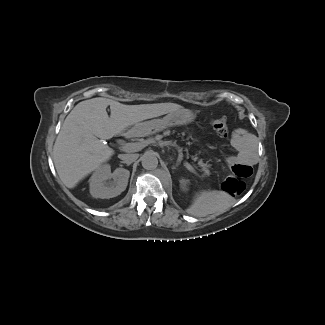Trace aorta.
I'll return each mask as SVG.
<instances>
[{
    "instance_id": "1",
    "label": "aorta",
    "mask_w": 325,
    "mask_h": 325,
    "mask_svg": "<svg viewBox=\"0 0 325 325\" xmlns=\"http://www.w3.org/2000/svg\"><path fill=\"white\" fill-rule=\"evenodd\" d=\"M141 163L144 169L153 170L158 166L157 154L153 151H147L141 157Z\"/></svg>"
}]
</instances>
